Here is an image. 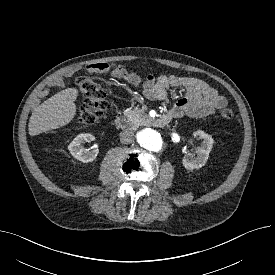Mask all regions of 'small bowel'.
<instances>
[{
  "instance_id": "obj_1",
  "label": "small bowel",
  "mask_w": 275,
  "mask_h": 275,
  "mask_svg": "<svg viewBox=\"0 0 275 275\" xmlns=\"http://www.w3.org/2000/svg\"><path fill=\"white\" fill-rule=\"evenodd\" d=\"M85 71L89 73L113 71L117 77L123 78L133 85H140L143 88L144 95L150 100L168 101L169 88H182L184 96L169 107L168 116L170 118H179L183 115L195 118L207 117L227 105L224 96L209 84L197 78L176 75H161L159 77L148 75L145 80H142L127 66H122L121 70H115L106 63L86 66ZM69 75L70 72H66L56 78L53 84L59 87L64 86Z\"/></svg>"
}]
</instances>
